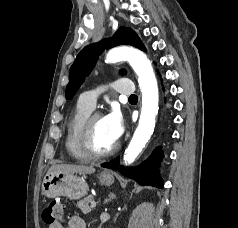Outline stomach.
Segmentation results:
<instances>
[{
	"mask_svg": "<svg viewBox=\"0 0 238 228\" xmlns=\"http://www.w3.org/2000/svg\"><path fill=\"white\" fill-rule=\"evenodd\" d=\"M99 180L102 184L109 186L113 184L114 177L110 172H101ZM88 190L85 179L73 173L48 171L42 182V194L50 198L66 196L77 200L85 196Z\"/></svg>",
	"mask_w": 238,
	"mask_h": 228,
	"instance_id": "stomach-1",
	"label": "stomach"
}]
</instances>
